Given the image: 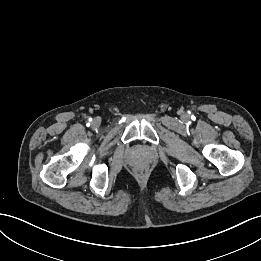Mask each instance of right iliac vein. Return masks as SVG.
<instances>
[{
	"label": "right iliac vein",
	"mask_w": 261,
	"mask_h": 261,
	"mask_svg": "<svg viewBox=\"0 0 261 261\" xmlns=\"http://www.w3.org/2000/svg\"><path fill=\"white\" fill-rule=\"evenodd\" d=\"M99 125H100V120L99 119H94L93 121H92V126L93 127H99Z\"/></svg>",
	"instance_id": "1"
}]
</instances>
